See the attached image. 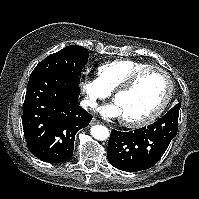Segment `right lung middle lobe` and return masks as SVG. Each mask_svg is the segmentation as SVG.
I'll return each instance as SVG.
<instances>
[{
	"instance_id": "obj_1",
	"label": "right lung middle lobe",
	"mask_w": 199,
	"mask_h": 199,
	"mask_svg": "<svg viewBox=\"0 0 199 199\" xmlns=\"http://www.w3.org/2000/svg\"><path fill=\"white\" fill-rule=\"evenodd\" d=\"M88 50L77 45H70L49 55L32 71L31 75L43 72H61L80 82L79 76L88 62Z\"/></svg>"
}]
</instances>
